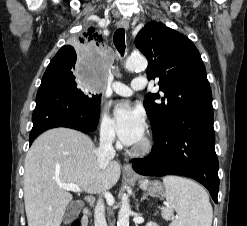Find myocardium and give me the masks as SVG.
I'll use <instances>...</instances> for the list:
<instances>
[{
    "label": "myocardium",
    "instance_id": "obj_1",
    "mask_svg": "<svg viewBox=\"0 0 247 226\" xmlns=\"http://www.w3.org/2000/svg\"><path fill=\"white\" fill-rule=\"evenodd\" d=\"M154 148V139L150 134H147L143 141L138 145L130 149V153L133 156L143 157L152 152Z\"/></svg>",
    "mask_w": 247,
    "mask_h": 226
}]
</instances>
